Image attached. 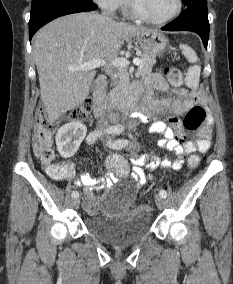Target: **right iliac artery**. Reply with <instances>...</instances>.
Returning <instances> with one entry per match:
<instances>
[{"label": "right iliac artery", "mask_w": 233, "mask_h": 284, "mask_svg": "<svg viewBox=\"0 0 233 284\" xmlns=\"http://www.w3.org/2000/svg\"><path fill=\"white\" fill-rule=\"evenodd\" d=\"M118 128L115 127V126H111V127H108L104 130H95V131H92L88 134L87 138H86V141L88 144H94L98 138H100L104 133L106 134H115L117 132ZM79 197V192L77 191H73L72 192V198H77Z\"/></svg>", "instance_id": "1"}]
</instances>
